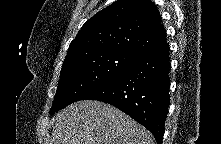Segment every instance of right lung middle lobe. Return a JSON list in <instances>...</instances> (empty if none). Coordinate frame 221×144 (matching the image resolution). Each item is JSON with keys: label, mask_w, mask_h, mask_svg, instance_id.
Segmentation results:
<instances>
[{"label": "right lung middle lobe", "mask_w": 221, "mask_h": 144, "mask_svg": "<svg viewBox=\"0 0 221 144\" xmlns=\"http://www.w3.org/2000/svg\"><path fill=\"white\" fill-rule=\"evenodd\" d=\"M138 55L122 50L95 53L62 66L50 114L82 100L88 93L115 78Z\"/></svg>", "instance_id": "1"}]
</instances>
